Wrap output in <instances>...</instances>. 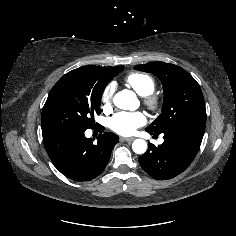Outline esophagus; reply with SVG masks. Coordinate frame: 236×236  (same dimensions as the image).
Here are the masks:
<instances>
[{
  "label": "esophagus",
  "mask_w": 236,
  "mask_h": 236,
  "mask_svg": "<svg viewBox=\"0 0 236 236\" xmlns=\"http://www.w3.org/2000/svg\"><path fill=\"white\" fill-rule=\"evenodd\" d=\"M120 139H121L122 141L132 142L135 138H134V137H129V138L121 137Z\"/></svg>",
  "instance_id": "1"
}]
</instances>
